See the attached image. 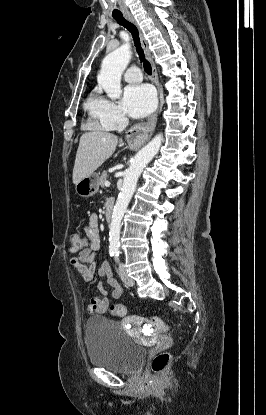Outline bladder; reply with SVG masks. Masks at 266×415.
<instances>
[{
  "mask_svg": "<svg viewBox=\"0 0 266 415\" xmlns=\"http://www.w3.org/2000/svg\"><path fill=\"white\" fill-rule=\"evenodd\" d=\"M85 345L92 365L125 374L137 372L147 354L120 323L103 316L86 321Z\"/></svg>",
  "mask_w": 266,
  "mask_h": 415,
  "instance_id": "31cf9c89",
  "label": "bladder"
}]
</instances>
